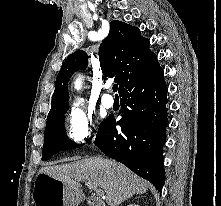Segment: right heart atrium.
<instances>
[{
	"label": "right heart atrium",
	"mask_w": 221,
	"mask_h": 206,
	"mask_svg": "<svg viewBox=\"0 0 221 206\" xmlns=\"http://www.w3.org/2000/svg\"><path fill=\"white\" fill-rule=\"evenodd\" d=\"M68 137L71 141L81 144L89 139L94 130L93 115L83 103H71L67 112Z\"/></svg>",
	"instance_id": "obj_1"
}]
</instances>
